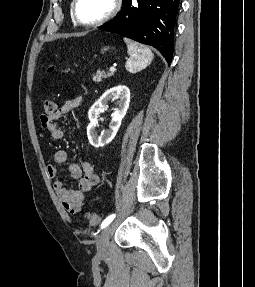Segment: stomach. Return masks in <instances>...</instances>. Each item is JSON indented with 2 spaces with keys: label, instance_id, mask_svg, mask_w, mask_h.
Segmentation results:
<instances>
[{
  "label": "stomach",
  "instance_id": "obj_1",
  "mask_svg": "<svg viewBox=\"0 0 255 287\" xmlns=\"http://www.w3.org/2000/svg\"><path fill=\"white\" fill-rule=\"evenodd\" d=\"M107 50H109L108 46H106V48H103L102 52H107Z\"/></svg>",
  "mask_w": 255,
  "mask_h": 287
}]
</instances>
